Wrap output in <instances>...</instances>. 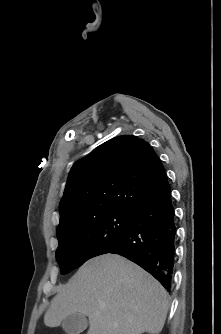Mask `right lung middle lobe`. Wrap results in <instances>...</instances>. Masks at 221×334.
Masks as SVG:
<instances>
[{"label":"right lung middle lobe","instance_id":"1","mask_svg":"<svg viewBox=\"0 0 221 334\" xmlns=\"http://www.w3.org/2000/svg\"><path fill=\"white\" fill-rule=\"evenodd\" d=\"M131 218L132 214L125 212L98 215L75 224L58 237L55 255L62 273L78 268L88 259L115 247Z\"/></svg>","mask_w":221,"mask_h":334}]
</instances>
